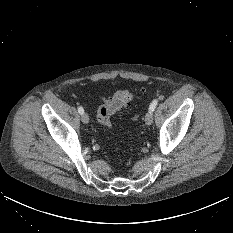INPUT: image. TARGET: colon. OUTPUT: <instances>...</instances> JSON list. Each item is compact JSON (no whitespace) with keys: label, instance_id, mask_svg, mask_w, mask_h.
Listing matches in <instances>:
<instances>
[{"label":"colon","instance_id":"colon-1","mask_svg":"<svg viewBox=\"0 0 233 233\" xmlns=\"http://www.w3.org/2000/svg\"><path fill=\"white\" fill-rule=\"evenodd\" d=\"M143 93V90L140 92ZM135 100V94L128 90L116 92L109 98L102 99L97 109L98 122L107 129H111V118L114 114L128 107Z\"/></svg>","mask_w":233,"mask_h":233}]
</instances>
